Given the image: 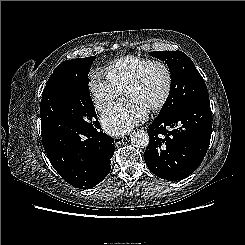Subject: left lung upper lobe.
I'll return each mask as SVG.
<instances>
[{"label": "left lung upper lobe", "instance_id": "left-lung-upper-lobe-1", "mask_svg": "<svg viewBox=\"0 0 245 245\" xmlns=\"http://www.w3.org/2000/svg\"><path fill=\"white\" fill-rule=\"evenodd\" d=\"M149 54L165 61L171 74L169 96L157 118H168L194 100L209 99L204 79L185 53L153 51Z\"/></svg>", "mask_w": 245, "mask_h": 245}]
</instances>
